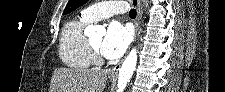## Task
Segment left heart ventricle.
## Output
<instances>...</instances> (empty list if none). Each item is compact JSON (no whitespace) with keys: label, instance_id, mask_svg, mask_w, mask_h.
<instances>
[{"label":"left heart ventricle","instance_id":"b2bd125f","mask_svg":"<svg viewBox=\"0 0 225 92\" xmlns=\"http://www.w3.org/2000/svg\"><path fill=\"white\" fill-rule=\"evenodd\" d=\"M102 39L103 38L100 36V37H96V38H94V39H92L90 41L99 50L100 46H101V43H102Z\"/></svg>","mask_w":225,"mask_h":92}]
</instances>
